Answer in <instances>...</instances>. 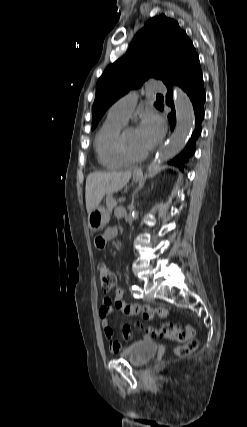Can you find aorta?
<instances>
[{
	"label": "aorta",
	"mask_w": 247,
	"mask_h": 427,
	"mask_svg": "<svg viewBox=\"0 0 247 427\" xmlns=\"http://www.w3.org/2000/svg\"><path fill=\"white\" fill-rule=\"evenodd\" d=\"M174 105L176 110V128L169 141L159 149L151 168L157 169L160 164L176 155L186 144L195 127V116L192 103L186 93L174 87Z\"/></svg>",
	"instance_id": "obj_1"
}]
</instances>
